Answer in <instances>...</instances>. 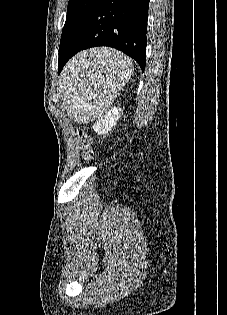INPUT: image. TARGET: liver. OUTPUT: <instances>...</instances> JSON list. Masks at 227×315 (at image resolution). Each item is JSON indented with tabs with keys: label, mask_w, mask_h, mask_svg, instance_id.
<instances>
[{
	"label": "liver",
	"mask_w": 227,
	"mask_h": 315,
	"mask_svg": "<svg viewBox=\"0 0 227 315\" xmlns=\"http://www.w3.org/2000/svg\"><path fill=\"white\" fill-rule=\"evenodd\" d=\"M102 49V48H101ZM101 49H99V48H96V49H94V50H96V51H99V50H101Z\"/></svg>",
	"instance_id": "1"
}]
</instances>
